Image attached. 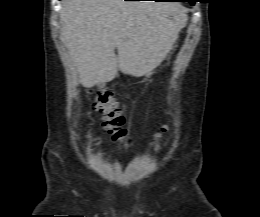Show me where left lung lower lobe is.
I'll return each mask as SVG.
<instances>
[{"instance_id":"0a47b994","label":"left lung lower lobe","mask_w":260,"mask_h":217,"mask_svg":"<svg viewBox=\"0 0 260 217\" xmlns=\"http://www.w3.org/2000/svg\"><path fill=\"white\" fill-rule=\"evenodd\" d=\"M157 1H171V0H157ZM195 0H191V1H189L191 4H194L195 2H194Z\"/></svg>"}]
</instances>
